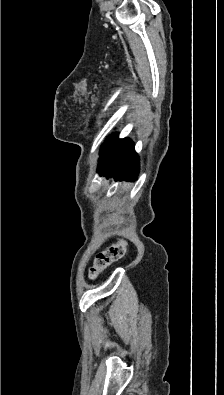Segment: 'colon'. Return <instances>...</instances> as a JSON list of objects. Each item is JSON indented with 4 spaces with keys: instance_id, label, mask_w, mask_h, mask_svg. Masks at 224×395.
<instances>
[{
    "instance_id": "obj_1",
    "label": "colon",
    "mask_w": 224,
    "mask_h": 395,
    "mask_svg": "<svg viewBox=\"0 0 224 395\" xmlns=\"http://www.w3.org/2000/svg\"><path fill=\"white\" fill-rule=\"evenodd\" d=\"M126 247L127 242L125 240H121L120 242L110 246L108 249L99 252L95 256L93 265L90 268V279H97L114 262L120 260L126 252Z\"/></svg>"
}]
</instances>
